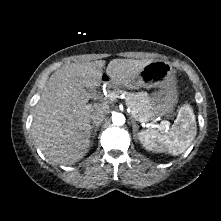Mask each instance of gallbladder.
I'll return each mask as SVG.
<instances>
[{
    "label": "gallbladder",
    "instance_id": "obj_1",
    "mask_svg": "<svg viewBox=\"0 0 221 221\" xmlns=\"http://www.w3.org/2000/svg\"><path fill=\"white\" fill-rule=\"evenodd\" d=\"M87 91L92 95L94 93L93 89H87Z\"/></svg>",
    "mask_w": 221,
    "mask_h": 221
}]
</instances>
